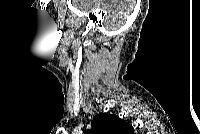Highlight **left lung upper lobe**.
Here are the masks:
<instances>
[{
	"mask_svg": "<svg viewBox=\"0 0 200 134\" xmlns=\"http://www.w3.org/2000/svg\"><path fill=\"white\" fill-rule=\"evenodd\" d=\"M86 134H134V128L113 114H99L92 120V128Z\"/></svg>",
	"mask_w": 200,
	"mask_h": 134,
	"instance_id": "left-lung-upper-lobe-1",
	"label": "left lung upper lobe"
}]
</instances>
